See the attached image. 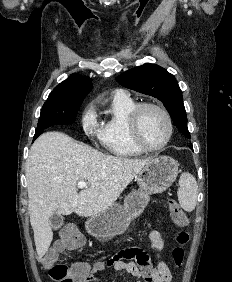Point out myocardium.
Segmentation results:
<instances>
[{
	"mask_svg": "<svg viewBox=\"0 0 232 282\" xmlns=\"http://www.w3.org/2000/svg\"><path fill=\"white\" fill-rule=\"evenodd\" d=\"M146 109H154L157 110L162 114V116L165 118V121L167 123L168 127V134L166 139L159 145L157 146H150L146 144L140 134V129H139V124H140V118L144 110ZM128 130H129V135L134 143L135 146H137L139 149L145 152H153V151H158L166 147L169 142L172 139L173 133H174V125L172 118L170 114L167 112L165 108L162 106L152 103V102H143L137 104L129 113L128 116Z\"/></svg>",
	"mask_w": 232,
	"mask_h": 282,
	"instance_id": "obj_1",
	"label": "myocardium"
}]
</instances>
